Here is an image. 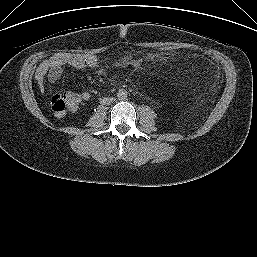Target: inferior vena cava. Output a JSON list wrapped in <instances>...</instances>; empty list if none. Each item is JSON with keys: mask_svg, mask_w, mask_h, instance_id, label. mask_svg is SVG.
<instances>
[{"mask_svg": "<svg viewBox=\"0 0 257 257\" xmlns=\"http://www.w3.org/2000/svg\"><path fill=\"white\" fill-rule=\"evenodd\" d=\"M113 101H114V98H104V99L102 100V102L105 103V104H110V103L113 102Z\"/></svg>", "mask_w": 257, "mask_h": 257, "instance_id": "inferior-vena-cava-1", "label": "inferior vena cava"}]
</instances>
